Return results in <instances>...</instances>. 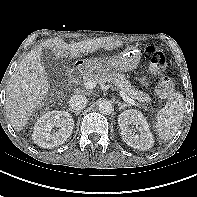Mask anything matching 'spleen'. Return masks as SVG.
Masks as SVG:
<instances>
[{
  "label": "spleen",
  "instance_id": "3e777b00",
  "mask_svg": "<svg viewBox=\"0 0 197 197\" xmlns=\"http://www.w3.org/2000/svg\"><path fill=\"white\" fill-rule=\"evenodd\" d=\"M184 117V96L173 92L165 107L158 111L156 116V131L160 141L171 139L178 131Z\"/></svg>",
  "mask_w": 197,
  "mask_h": 197
}]
</instances>
